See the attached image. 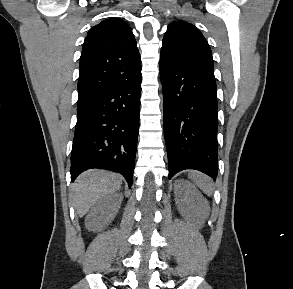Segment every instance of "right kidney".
I'll return each mask as SVG.
<instances>
[{
	"label": "right kidney",
	"mask_w": 293,
	"mask_h": 289,
	"mask_svg": "<svg viewBox=\"0 0 293 289\" xmlns=\"http://www.w3.org/2000/svg\"><path fill=\"white\" fill-rule=\"evenodd\" d=\"M121 199L116 203L113 211L109 216L104 215V204L102 202L96 204L85 219V226L88 230L98 232L103 229L114 218Z\"/></svg>",
	"instance_id": "1"
}]
</instances>
